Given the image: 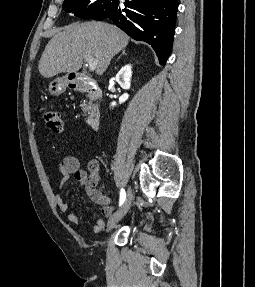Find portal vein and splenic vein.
Here are the masks:
<instances>
[{"mask_svg":"<svg viewBox=\"0 0 255 287\" xmlns=\"http://www.w3.org/2000/svg\"><path fill=\"white\" fill-rule=\"evenodd\" d=\"M84 60H86L90 72H94V70H96L97 68L98 60H96V58H93V56H88V54L84 56Z\"/></svg>","mask_w":255,"mask_h":287,"instance_id":"obj_1","label":"portal vein and splenic vein"}]
</instances>
